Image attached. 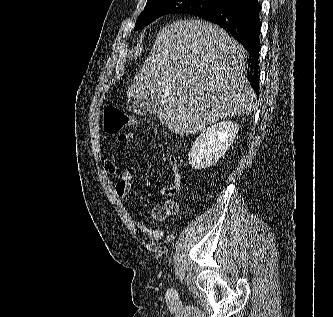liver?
Returning a JSON list of instances; mask_svg holds the SVG:
<instances>
[{"instance_id":"6515ba94","label":"liver","mask_w":333,"mask_h":317,"mask_svg":"<svg viewBox=\"0 0 333 317\" xmlns=\"http://www.w3.org/2000/svg\"><path fill=\"white\" fill-rule=\"evenodd\" d=\"M244 58L242 45L220 27L179 20L160 30L127 96L157 99L160 122L188 136L220 119L256 110Z\"/></svg>"}]
</instances>
